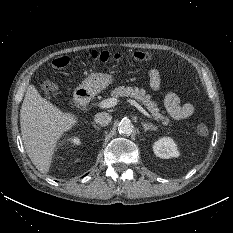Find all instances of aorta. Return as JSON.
Masks as SVG:
<instances>
[{
  "label": "aorta",
  "instance_id": "obj_1",
  "mask_svg": "<svg viewBox=\"0 0 233 233\" xmlns=\"http://www.w3.org/2000/svg\"><path fill=\"white\" fill-rule=\"evenodd\" d=\"M118 131L122 135H130L133 132V125L129 120H122L118 125Z\"/></svg>",
  "mask_w": 233,
  "mask_h": 233
}]
</instances>
